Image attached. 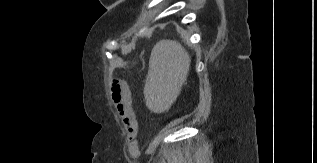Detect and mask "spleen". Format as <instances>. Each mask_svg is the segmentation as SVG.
Listing matches in <instances>:
<instances>
[{
  "instance_id": "spleen-1",
  "label": "spleen",
  "mask_w": 317,
  "mask_h": 163,
  "mask_svg": "<svg viewBox=\"0 0 317 163\" xmlns=\"http://www.w3.org/2000/svg\"><path fill=\"white\" fill-rule=\"evenodd\" d=\"M190 57L180 43L157 42L152 50L144 87L147 106L156 113L167 111L186 81Z\"/></svg>"
}]
</instances>
